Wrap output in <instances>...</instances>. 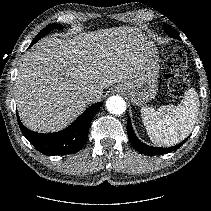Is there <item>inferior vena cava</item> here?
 <instances>
[{
	"mask_svg": "<svg viewBox=\"0 0 211 211\" xmlns=\"http://www.w3.org/2000/svg\"><path fill=\"white\" fill-rule=\"evenodd\" d=\"M84 99L87 104H92L97 102L100 99V97L95 92L89 91L85 94Z\"/></svg>",
	"mask_w": 211,
	"mask_h": 211,
	"instance_id": "602c4592",
	"label": "inferior vena cava"
}]
</instances>
